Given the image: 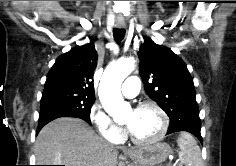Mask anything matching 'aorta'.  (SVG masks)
I'll list each match as a JSON object with an SVG mask.
<instances>
[{"instance_id": "aorta-1", "label": "aorta", "mask_w": 236, "mask_h": 166, "mask_svg": "<svg viewBox=\"0 0 236 166\" xmlns=\"http://www.w3.org/2000/svg\"><path fill=\"white\" fill-rule=\"evenodd\" d=\"M134 68V59H122L109 65L101 78L98 88L99 99L105 111L114 118L131 109L130 105L124 101L120 87Z\"/></svg>"}]
</instances>
